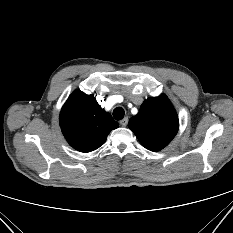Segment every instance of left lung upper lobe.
Masks as SVG:
<instances>
[{
    "mask_svg": "<svg viewBox=\"0 0 233 233\" xmlns=\"http://www.w3.org/2000/svg\"><path fill=\"white\" fill-rule=\"evenodd\" d=\"M128 126L145 148L159 151L176 135L179 120L170 101L162 95L145 100Z\"/></svg>",
    "mask_w": 233,
    "mask_h": 233,
    "instance_id": "5c2ea615",
    "label": "left lung upper lobe"
}]
</instances>
